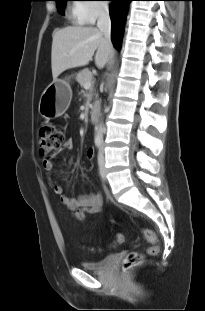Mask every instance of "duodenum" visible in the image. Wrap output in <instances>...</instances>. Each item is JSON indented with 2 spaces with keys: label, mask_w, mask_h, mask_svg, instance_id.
<instances>
[{
  "label": "duodenum",
  "mask_w": 205,
  "mask_h": 311,
  "mask_svg": "<svg viewBox=\"0 0 205 311\" xmlns=\"http://www.w3.org/2000/svg\"><path fill=\"white\" fill-rule=\"evenodd\" d=\"M99 111H100V105L98 103H93L91 108H90V119L92 122H96L98 119V115H99Z\"/></svg>",
  "instance_id": "obj_1"
}]
</instances>
